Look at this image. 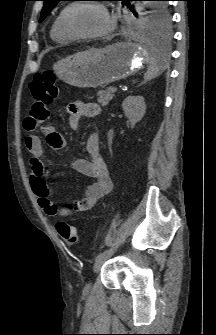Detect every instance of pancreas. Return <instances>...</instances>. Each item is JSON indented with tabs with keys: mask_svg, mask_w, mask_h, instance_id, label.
I'll return each instance as SVG.
<instances>
[{
	"mask_svg": "<svg viewBox=\"0 0 216 335\" xmlns=\"http://www.w3.org/2000/svg\"><path fill=\"white\" fill-rule=\"evenodd\" d=\"M97 95L98 103L102 106H106L113 99L114 96L112 94V87H108L105 90L99 91Z\"/></svg>",
	"mask_w": 216,
	"mask_h": 335,
	"instance_id": "pancreas-1",
	"label": "pancreas"
}]
</instances>
